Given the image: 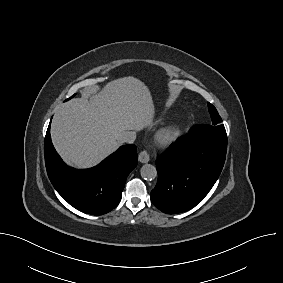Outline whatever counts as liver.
Instances as JSON below:
<instances>
[{
	"label": "liver",
	"instance_id": "6515ba94",
	"mask_svg": "<svg viewBox=\"0 0 283 283\" xmlns=\"http://www.w3.org/2000/svg\"><path fill=\"white\" fill-rule=\"evenodd\" d=\"M154 115L147 86L134 77L119 78L89 100L60 106L52 120V142L66 163L89 168L118 148L123 132L150 126Z\"/></svg>",
	"mask_w": 283,
	"mask_h": 283
}]
</instances>
